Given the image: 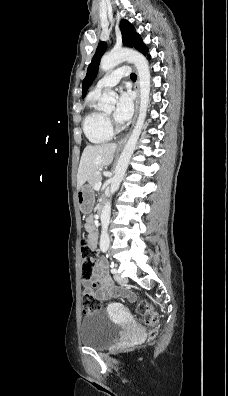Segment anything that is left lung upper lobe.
<instances>
[{
  "mask_svg": "<svg viewBox=\"0 0 228 396\" xmlns=\"http://www.w3.org/2000/svg\"><path fill=\"white\" fill-rule=\"evenodd\" d=\"M120 30L122 33V39L124 45L128 47H135L140 52L144 53V51L146 50V46L142 42L140 35L136 33L135 28L127 20L121 21ZM105 50H106V43L100 42L97 47L96 53L94 54L92 61L88 66L86 77L84 78L82 83V90H83L82 98L85 97L89 86L92 84L93 80L95 79L98 73L99 62Z\"/></svg>",
  "mask_w": 228,
  "mask_h": 396,
  "instance_id": "5c2ea615",
  "label": "left lung upper lobe"
}]
</instances>
